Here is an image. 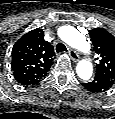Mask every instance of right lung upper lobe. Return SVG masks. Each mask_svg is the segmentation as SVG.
<instances>
[{
  "label": "right lung upper lobe",
  "mask_w": 115,
  "mask_h": 119,
  "mask_svg": "<svg viewBox=\"0 0 115 119\" xmlns=\"http://www.w3.org/2000/svg\"><path fill=\"white\" fill-rule=\"evenodd\" d=\"M54 55V49L44 40L41 29L26 33L12 49L11 67L14 78L22 85L37 84L47 75Z\"/></svg>",
  "instance_id": "right-lung-upper-lobe-1"
}]
</instances>
